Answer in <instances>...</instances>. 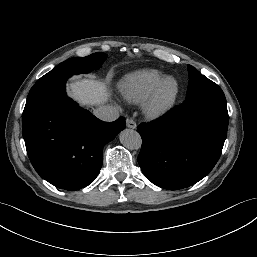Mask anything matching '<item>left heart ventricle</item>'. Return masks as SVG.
Masks as SVG:
<instances>
[{
    "label": "left heart ventricle",
    "instance_id": "obj_1",
    "mask_svg": "<svg viewBox=\"0 0 257 257\" xmlns=\"http://www.w3.org/2000/svg\"><path fill=\"white\" fill-rule=\"evenodd\" d=\"M174 89V83L172 81H168L163 88V96L167 97L171 94Z\"/></svg>",
    "mask_w": 257,
    "mask_h": 257
}]
</instances>
